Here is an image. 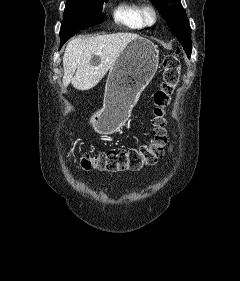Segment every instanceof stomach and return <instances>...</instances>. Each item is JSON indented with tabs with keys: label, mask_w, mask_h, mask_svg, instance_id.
Returning a JSON list of instances; mask_svg holds the SVG:
<instances>
[{
	"label": "stomach",
	"mask_w": 240,
	"mask_h": 281,
	"mask_svg": "<svg viewBox=\"0 0 240 281\" xmlns=\"http://www.w3.org/2000/svg\"><path fill=\"white\" fill-rule=\"evenodd\" d=\"M158 63L159 52L150 40L138 37L125 46L109 71L103 108L90 118L97 132L111 134L124 123Z\"/></svg>",
	"instance_id": "0dacf381"
}]
</instances>
